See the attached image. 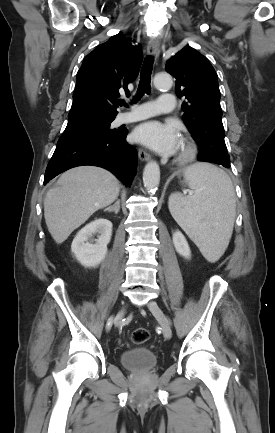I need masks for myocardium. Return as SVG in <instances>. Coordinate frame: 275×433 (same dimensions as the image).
<instances>
[{"instance_id": "1", "label": "myocardium", "mask_w": 275, "mask_h": 433, "mask_svg": "<svg viewBox=\"0 0 275 433\" xmlns=\"http://www.w3.org/2000/svg\"><path fill=\"white\" fill-rule=\"evenodd\" d=\"M196 155V145L187 136L183 137L175 161L185 165L192 161Z\"/></svg>"}]
</instances>
